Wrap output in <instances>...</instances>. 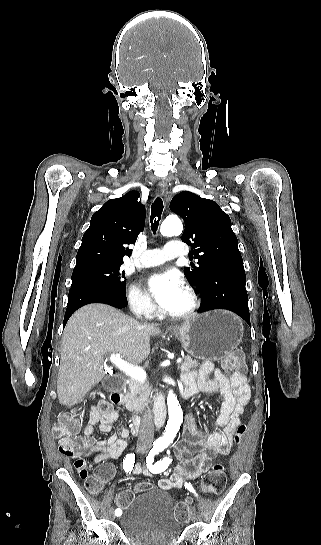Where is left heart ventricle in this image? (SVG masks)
I'll return each mask as SVG.
<instances>
[{"label":"left heart ventricle","instance_id":"1","mask_svg":"<svg viewBox=\"0 0 321 545\" xmlns=\"http://www.w3.org/2000/svg\"><path fill=\"white\" fill-rule=\"evenodd\" d=\"M191 307V298L188 293L182 288L176 300L170 309L169 313H181L187 311Z\"/></svg>","mask_w":321,"mask_h":545}]
</instances>
